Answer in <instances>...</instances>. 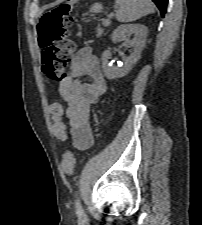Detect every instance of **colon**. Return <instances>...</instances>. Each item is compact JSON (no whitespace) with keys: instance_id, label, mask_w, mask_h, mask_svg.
<instances>
[{"instance_id":"1","label":"colon","mask_w":202,"mask_h":225,"mask_svg":"<svg viewBox=\"0 0 202 225\" xmlns=\"http://www.w3.org/2000/svg\"><path fill=\"white\" fill-rule=\"evenodd\" d=\"M71 7L61 5L49 10L39 17L37 24L38 41L42 54V72L55 85L65 77V70L72 57L74 43L70 39L69 28L72 19L69 16ZM60 103H53V113L62 115ZM75 168V157L66 151L61 160V171L70 174Z\"/></svg>"}]
</instances>
